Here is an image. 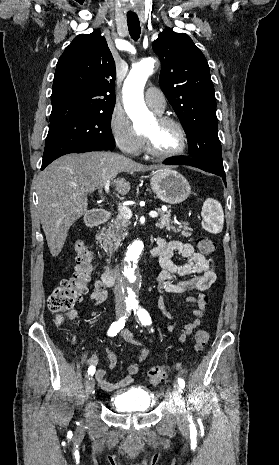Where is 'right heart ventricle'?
Returning a JSON list of instances; mask_svg holds the SVG:
<instances>
[{"label": "right heart ventricle", "instance_id": "obj_1", "mask_svg": "<svg viewBox=\"0 0 279 465\" xmlns=\"http://www.w3.org/2000/svg\"><path fill=\"white\" fill-rule=\"evenodd\" d=\"M142 146H143V139H142V142H141V146H140V149L142 148Z\"/></svg>", "mask_w": 279, "mask_h": 465}]
</instances>
